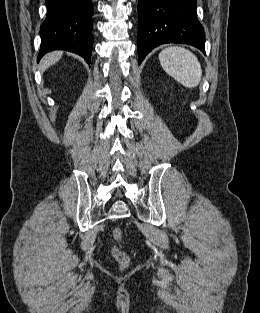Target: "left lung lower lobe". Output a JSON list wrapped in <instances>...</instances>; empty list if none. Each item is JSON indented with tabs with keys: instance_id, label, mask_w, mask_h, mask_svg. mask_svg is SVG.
<instances>
[{
	"instance_id": "left-lung-lower-lobe-1",
	"label": "left lung lower lobe",
	"mask_w": 260,
	"mask_h": 313,
	"mask_svg": "<svg viewBox=\"0 0 260 313\" xmlns=\"http://www.w3.org/2000/svg\"><path fill=\"white\" fill-rule=\"evenodd\" d=\"M138 14L139 63L153 48L165 43L189 44L205 53L196 0H138Z\"/></svg>"
}]
</instances>
